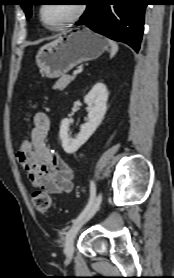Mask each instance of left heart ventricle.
<instances>
[{
  "instance_id": "1",
  "label": "left heart ventricle",
  "mask_w": 174,
  "mask_h": 278,
  "mask_svg": "<svg viewBox=\"0 0 174 278\" xmlns=\"http://www.w3.org/2000/svg\"><path fill=\"white\" fill-rule=\"evenodd\" d=\"M77 9L78 4H47L43 7V17L50 26H57L70 19Z\"/></svg>"
}]
</instances>
